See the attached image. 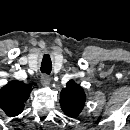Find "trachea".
<instances>
[{
	"label": "trachea",
	"mask_w": 130,
	"mask_h": 130,
	"mask_svg": "<svg viewBox=\"0 0 130 130\" xmlns=\"http://www.w3.org/2000/svg\"><path fill=\"white\" fill-rule=\"evenodd\" d=\"M52 70V62L49 57L44 56L41 63V72L45 74H50Z\"/></svg>",
	"instance_id": "3493384b"
}]
</instances>
